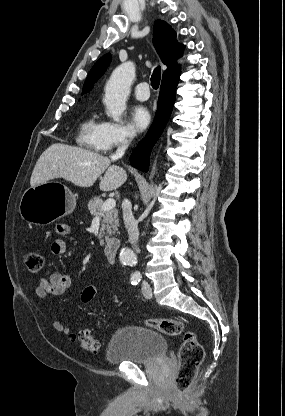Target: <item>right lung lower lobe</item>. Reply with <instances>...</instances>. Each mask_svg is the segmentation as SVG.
<instances>
[{"instance_id":"98d812e1","label":"right lung lower lobe","mask_w":285,"mask_h":416,"mask_svg":"<svg viewBox=\"0 0 285 416\" xmlns=\"http://www.w3.org/2000/svg\"><path fill=\"white\" fill-rule=\"evenodd\" d=\"M179 77L180 75L162 81L155 121L146 137L138 144L131 157L132 166L143 172H147L148 170L150 152L170 117L175 101V91Z\"/></svg>"}]
</instances>
